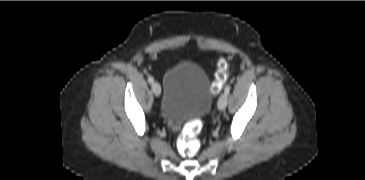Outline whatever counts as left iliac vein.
I'll use <instances>...</instances> for the list:
<instances>
[{"label": "left iliac vein", "instance_id": "4c4485c4", "mask_svg": "<svg viewBox=\"0 0 365 180\" xmlns=\"http://www.w3.org/2000/svg\"><path fill=\"white\" fill-rule=\"evenodd\" d=\"M227 102H228V96L224 93L220 96L219 100H218V109L220 111L225 110L226 106H227Z\"/></svg>", "mask_w": 365, "mask_h": 180}]
</instances>
